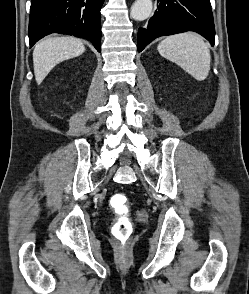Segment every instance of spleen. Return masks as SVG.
<instances>
[{"label":"spleen","instance_id":"spleen-1","mask_svg":"<svg viewBox=\"0 0 249 294\" xmlns=\"http://www.w3.org/2000/svg\"><path fill=\"white\" fill-rule=\"evenodd\" d=\"M158 52L175 62L198 81L207 78L210 71V50L203 37L186 32L172 35L161 41Z\"/></svg>","mask_w":249,"mask_h":294}]
</instances>
